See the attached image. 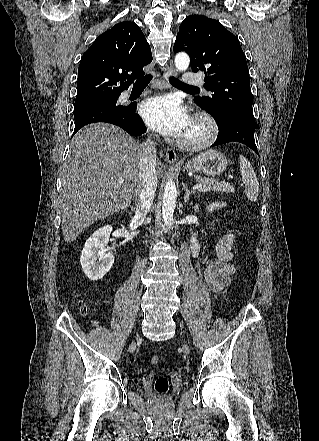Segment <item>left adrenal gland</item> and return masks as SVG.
I'll return each instance as SVG.
<instances>
[{"label": "left adrenal gland", "mask_w": 319, "mask_h": 441, "mask_svg": "<svg viewBox=\"0 0 319 441\" xmlns=\"http://www.w3.org/2000/svg\"><path fill=\"white\" fill-rule=\"evenodd\" d=\"M184 190H185V195H184V203L188 204L189 200H190V196L195 195V192L193 190H189L187 184H183ZM191 206H193V203H190ZM195 212L199 209V204H195V206L193 207Z\"/></svg>", "instance_id": "1"}]
</instances>
